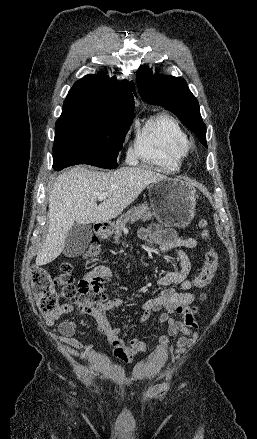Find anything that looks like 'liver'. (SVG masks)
Listing matches in <instances>:
<instances>
[{
	"instance_id": "obj_1",
	"label": "liver",
	"mask_w": 257,
	"mask_h": 439,
	"mask_svg": "<svg viewBox=\"0 0 257 439\" xmlns=\"http://www.w3.org/2000/svg\"><path fill=\"white\" fill-rule=\"evenodd\" d=\"M164 178L160 173L138 167L99 172L77 165L64 171L50 193L49 228L36 265L48 264L63 252L74 223L87 225L116 218L149 184ZM104 192L108 197L98 205V196Z\"/></svg>"
}]
</instances>
